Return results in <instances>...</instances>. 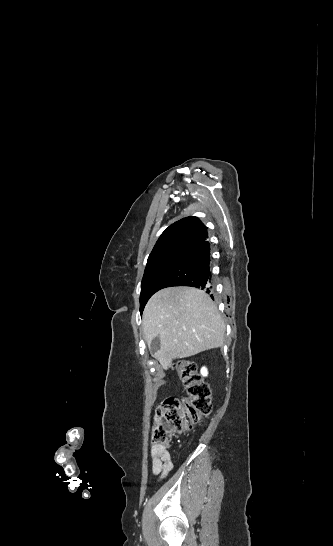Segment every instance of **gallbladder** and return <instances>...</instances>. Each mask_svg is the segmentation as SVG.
Here are the masks:
<instances>
[{
  "instance_id": "obj_1",
  "label": "gallbladder",
  "mask_w": 333,
  "mask_h": 546,
  "mask_svg": "<svg viewBox=\"0 0 333 546\" xmlns=\"http://www.w3.org/2000/svg\"><path fill=\"white\" fill-rule=\"evenodd\" d=\"M160 349V339L159 337H156L153 339L151 345H150V351L151 353L155 354Z\"/></svg>"
}]
</instances>
